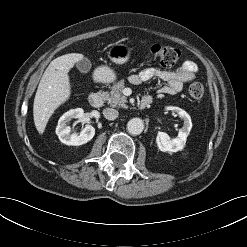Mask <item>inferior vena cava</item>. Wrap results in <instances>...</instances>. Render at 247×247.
Masks as SVG:
<instances>
[{
  "mask_svg": "<svg viewBox=\"0 0 247 247\" xmlns=\"http://www.w3.org/2000/svg\"><path fill=\"white\" fill-rule=\"evenodd\" d=\"M103 115L106 119L108 120H115L118 118V111L116 109L113 108H105L103 110Z\"/></svg>",
  "mask_w": 247,
  "mask_h": 247,
  "instance_id": "obj_1",
  "label": "inferior vena cava"
}]
</instances>
